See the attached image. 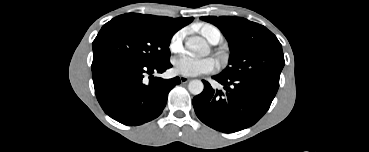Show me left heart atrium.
<instances>
[{
    "label": "left heart atrium",
    "mask_w": 369,
    "mask_h": 152,
    "mask_svg": "<svg viewBox=\"0 0 369 152\" xmlns=\"http://www.w3.org/2000/svg\"><path fill=\"white\" fill-rule=\"evenodd\" d=\"M176 73L183 76H198L212 72L216 67L213 58H194L189 55H183L173 61Z\"/></svg>",
    "instance_id": "1"
}]
</instances>
